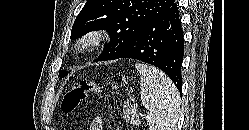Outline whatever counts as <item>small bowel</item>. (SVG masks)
<instances>
[{
    "mask_svg": "<svg viewBox=\"0 0 249 130\" xmlns=\"http://www.w3.org/2000/svg\"><path fill=\"white\" fill-rule=\"evenodd\" d=\"M90 130H104L103 129V120L101 117H96L90 125Z\"/></svg>",
    "mask_w": 249,
    "mask_h": 130,
    "instance_id": "1",
    "label": "small bowel"
}]
</instances>
